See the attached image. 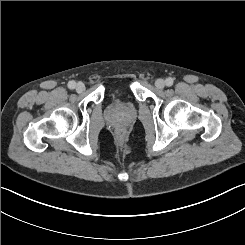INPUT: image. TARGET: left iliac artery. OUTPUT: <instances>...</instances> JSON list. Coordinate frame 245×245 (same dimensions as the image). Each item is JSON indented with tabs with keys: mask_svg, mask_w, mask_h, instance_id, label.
<instances>
[{
	"mask_svg": "<svg viewBox=\"0 0 245 245\" xmlns=\"http://www.w3.org/2000/svg\"><path fill=\"white\" fill-rule=\"evenodd\" d=\"M166 85L167 86H172L173 85V79L172 78H167L166 79Z\"/></svg>",
	"mask_w": 245,
	"mask_h": 245,
	"instance_id": "left-iliac-artery-1",
	"label": "left iliac artery"
}]
</instances>
